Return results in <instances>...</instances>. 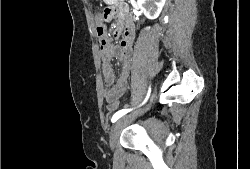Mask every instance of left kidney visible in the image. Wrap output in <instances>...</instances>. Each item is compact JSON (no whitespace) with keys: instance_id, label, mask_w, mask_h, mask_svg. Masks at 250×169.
I'll use <instances>...</instances> for the list:
<instances>
[{"instance_id":"left-kidney-1","label":"left kidney","mask_w":250,"mask_h":169,"mask_svg":"<svg viewBox=\"0 0 250 169\" xmlns=\"http://www.w3.org/2000/svg\"><path fill=\"white\" fill-rule=\"evenodd\" d=\"M166 0H137V4L147 18H157ZM150 28V26H148Z\"/></svg>"}]
</instances>
